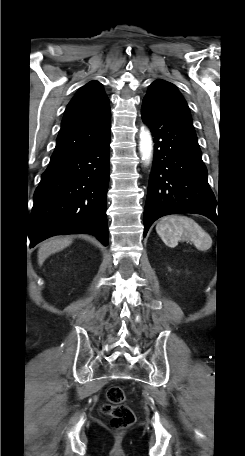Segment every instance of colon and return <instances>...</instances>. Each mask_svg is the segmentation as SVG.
<instances>
[{"label": "colon", "mask_w": 245, "mask_h": 456, "mask_svg": "<svg viewBox=\"0 0 245 456\" xmlns=\"http://www.w3.org/2000/svg\"><path fill=\"white\" fill-rule=\"evenodd\" d=\"M107 402L102 406V412L111 418V424L116 429H125L134 424L136 416L133 410L125 405V393L122 388L113 386L107 390Z\"/></svg>", "instance_id": "colon-1"}]
</instances>
